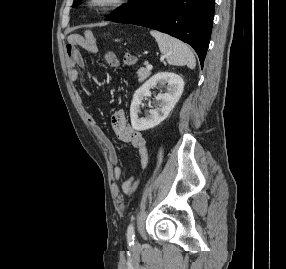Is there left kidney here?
Listing matches in <instances>:
<instances>
[{
  "label": "left kidney",
  "mask_w": 286,
  "mask_h": 269,
  "mask_svg": "<svg viewBox=\"0 0 286 269\" xmlns=\"http://www.w3.org/2000/svg\"><path fill=\"white\" fill-rule=\"evenodd\" d=\"M168 85V90L164 94H159L156 100L159 107L149 111L145 118H139L140 105L145 97H150V89L157 84ZM184 88L182 77L174 73L160 72L147 80L134 94L130 107V118L132 127L138 131L148 130L165 120L179 101Z\"/></svg>",
  "instance_id": "1"
}]
</instances>
